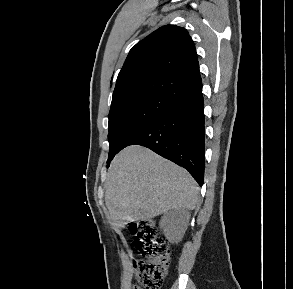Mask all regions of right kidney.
Listing matches in <instances>:
<instances>
[{
  "instance_id": "obj_1",
  "label": "right kidney",
  "mask_w": 293,
  "mask_h": 289,
  "mask_svg": "<svg viewBox=\"0 0 293 289\" xmlns=\"http://www.w3.org/2000/svg\"><path fill=\"white\" fill-rule=\"evenodd\" d=\"M189 218L190 215L187 211L177 208L162 217L160 228L163 229L169 241L178 242L187 229Z\"/></svg>"
}]
</instances>
